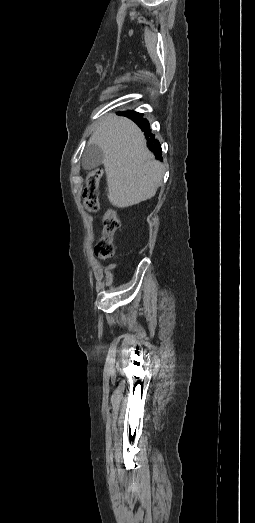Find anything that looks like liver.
Wrapping results in <instances>:
<instances>
[{"label": "liver", "instance_id": "6515ba94", "mask_svg": "<svg viewBox=\"0 0 255 523\" xmlns=\"http://www.w3.org/2000/svg\"><path fill=\"white\" fill-rule=\"evenodd\" d=\"M88 144L103 150L112 206L128 208L155 196L164 166L149 152L143 132L134 122L108 116L95 128Z\"/></svg>", "mask_w": 255, "mask_h": 523}]
</instances>
